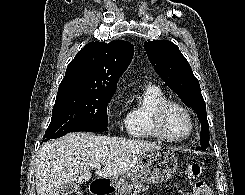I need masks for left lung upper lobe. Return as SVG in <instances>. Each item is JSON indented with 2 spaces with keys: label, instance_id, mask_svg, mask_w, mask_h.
I'll return each mask as SVG.
<instances>
[{
  "label": "left lung upper lobe",
  "instance_id": "1",
  "mask_svg": "<svg viewBox=\"0 0 245 195\" xmlns=\"http://www.w3.org/2000/svg\"><path fill=\"white\" fill-rule=\"evenodd\" d=\"M149 61L163 81L178 94L183 103L194 109L201 122L200 145L209 146L206 104L200 84L179 48L168 40L144 43Z\"/></svg>",
  "mask_w": 245,
  "mask_h": 195
}]
</instances>
